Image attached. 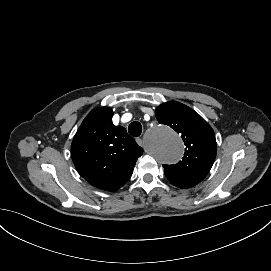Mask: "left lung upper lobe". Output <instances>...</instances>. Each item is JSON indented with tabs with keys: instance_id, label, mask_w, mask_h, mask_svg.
I'll use <instances>...</instances> for the list:
<instances>
[{
	"instance_id": "5c2ea615",
	"label": "left lung upper lobe",
	"mask_w": 271,
	"mask_h": 271,
	"mask_svg": "<svg viewBox=\"0 0 271 271\" xmlns=\"http://www.w3.org/2000/svg\"><path fill=\"white\" fill-rule=\"evenodd\" d=\"M160 124L173 128L184 142V157L177 164H164V173L171 184L187 189L200 183L209 173L217 151L211 126L194 110L179 102H167L157 107Z\"/></svg>"
}]
</instances>
